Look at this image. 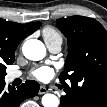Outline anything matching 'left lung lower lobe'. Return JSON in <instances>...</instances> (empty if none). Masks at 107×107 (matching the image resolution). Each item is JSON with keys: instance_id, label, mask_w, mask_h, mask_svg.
Instances as JSON below:
<instances>
[{"instance_id": "0a47b994", "label": "left lung lower lobe", "mask_w": 107, "mask_h": 107, "mask_svg": "<svg viewBox=\"0 0 107 107\" xmlns=\"http://www.w3.org/2000/svg\"><path fill=\"white\" fill-rule=\"evenodd\" d=\"M64 90L59 107H107V85L83 87L79 97H73L71 89Z\"/></svg>"}]
</instances>
